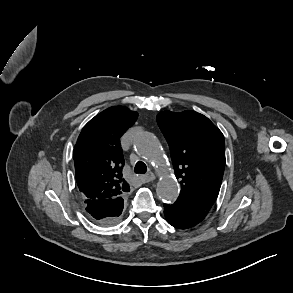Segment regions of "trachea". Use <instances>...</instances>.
<instances>
[{"instance_id":"3493384b","label":"trachea","mask_w":293,"mask_h":293,"mask_svg":"<svg viewBox=\"0 0 293 293\" xmlns=\"http://www.w3.org/2000/svg\"><path fill=\"white\" fill-rule=\"evenodd\" d=\"M147 171V166L144 162L138 161L135 165L134 172L136 174H145Z\"/></svg>"}]
</instances>
